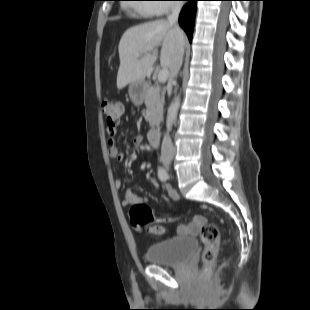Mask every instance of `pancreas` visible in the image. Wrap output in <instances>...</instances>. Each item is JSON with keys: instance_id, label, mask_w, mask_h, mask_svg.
<instances>
[{"instance_id": "pancreas-1", "label": "pancreas", "mask_w": 310, "mask_h": 310, "mask_svg": "<svg viewBox=\"0 0 310 310\" xmlns=\"http://www.w3.org/2000/svg\"><path fill=\"white\" fill-rule=\"evenodd\" d=\"M146 120L150 127L158 126L163 119L164 92L159 86L149 87L145 93Z\"/></svg>"}]
</instances>
